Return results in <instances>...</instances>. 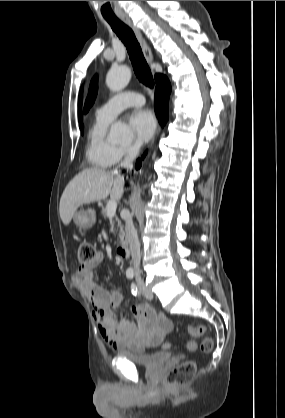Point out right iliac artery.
<instances>
[{
	"mask_svg": "<svg viewBox=\"0 0 285 418\" xmlns=\"http://www.w3.org/2000/svg\"><path fill=\"white\" fill-rule=\"evenodd\" d=\"M126 276L127 278L132 279L134 276V271L132 269H127Z\"/></svg>",
	"mask_w": 285,
	"mask_h": 418,
	"instance_id": "82829eb1",
	"label": "right iliac artery"
}]
</instances>
